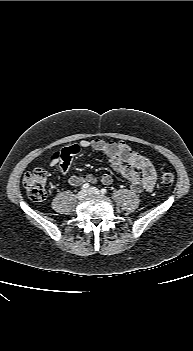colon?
I'll return each mask as SVG.
<instances>
[{"label": "colon", "mask_w": 193, "mask_h": 351, "mask_svg": "<svg viewBox=\"0 0 193 351\" xmlns=\"http://www.w3.org/2000/svg\"><path fill=\"white\" fill-rule=\"evenodd\" d=\"M160 182L165 187H170L175 181L174 173L168 167H159ZM47 174L43 168H35L23 178V186L28 195L35 201H42L46 197Z\"/></svg>", "instance_id": "colon-1"}]
</instances>
